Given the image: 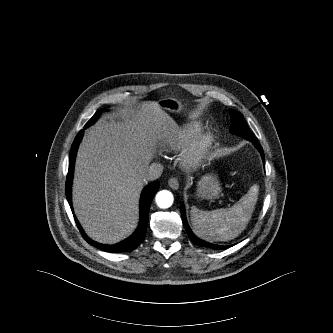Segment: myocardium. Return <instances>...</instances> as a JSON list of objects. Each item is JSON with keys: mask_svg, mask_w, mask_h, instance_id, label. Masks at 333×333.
I'll return each instance as SVG.
<instances>
[{"mask_svg": "<svg viewBox=\"0 0 333 333\" xmlns=\"http://www.w3.org/2000/svg\"><path fill=\"white\" fill-rule=\"evenodd\" d=\"M214 142V132L212 130L203 131L189 146L183 156V165L187 168L200 166L209 153Z\"/></svg>", "mask_w": 333, "mask_h": 333, "instance_id": "obj_1", "label": "myocardium"}]
</instances>
